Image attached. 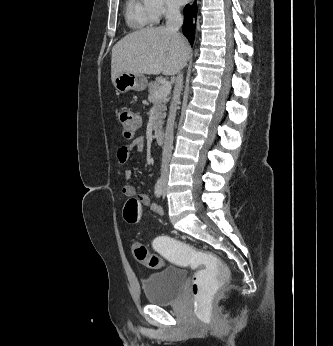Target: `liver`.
Listing matches in <instances>:
<instances>
[{
	"mask_svg": "<svg viewBox=\"0 0 333 346\" xmlns=\"http://www.w3.org/2000/svg\"><path fill=\"white\" fill-rule=\"evenodd\" d=\"M191 55L187 40L166 27L130 33L112 49L111 80L121 73L175 75Z\"/></svg>",
	"mask_w": 333,
	"mask_h": 346,
	"instance_id": "obj_1",
	"label": "liver"
}]
</instances>
